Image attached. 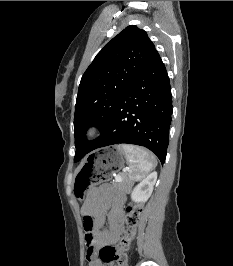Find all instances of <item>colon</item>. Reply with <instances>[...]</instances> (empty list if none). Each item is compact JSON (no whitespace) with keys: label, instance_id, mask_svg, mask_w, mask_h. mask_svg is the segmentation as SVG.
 Masks as SVG:
<instances>
[{"label":"colon","instance_id":"1","mask_svg":"<svg viewBox=\"0 0 233 266\" xmlns=\"http://www.w3.org/2000/svg\"><path fill=\"white\" fill-rule=\"evenodd\" d=\"M141 213V206L139 204H131L127 207V231L121 238L117 247L104 246L99 249V257L102 262H115L116 266H127L126 251L130 247L131 241L134 237L135 228L139 223ZM84 227L90 229L92 226V219L88 215L83 216Z\"/></svg>","mask_w":233,"mask_h":266}]
</instances>
